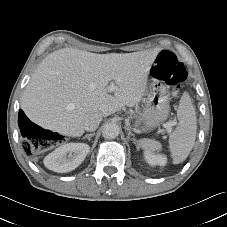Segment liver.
Masks as SVG:
<instances>
[{
  "label": "liver",
  "instance_id": "6515ba94",
  "mask_svg": "<svg viewBox=\"0 0 227 227\" xmlns=\"http://www.w3.org/2000/svg\"><path fill=\"white\" fill-rule=\"evenodd\" d=\"M156 56V51L95 54L73 48L57 50L36 69L21 108L44 129L80 137L87 115L107 117L140 102ZM109 83L114 84L113 91Z\"/></svg>",
  "mask_w": 227,
  "mask_h": 227
}]
</instances>
